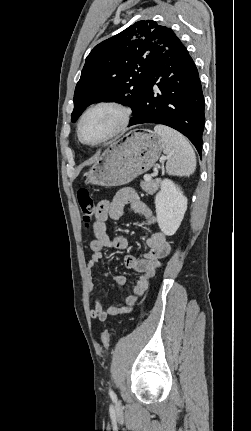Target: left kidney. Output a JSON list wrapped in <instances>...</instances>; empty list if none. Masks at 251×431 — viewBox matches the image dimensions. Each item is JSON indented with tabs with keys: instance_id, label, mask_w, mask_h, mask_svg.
Returning <instances> with one entry per match:
<instances>
[{
	"instance_id": "obj_1",
	"label": "left kidney",
	"mask_w": 251,
	"mask_h": 431,
	"mask_svg": "<svg viewBox=\"0 0 251 431\" xmlns=\"http://www.w3.org/2000/svg\"><path fill=\"white\" fill-rule=\"evenodd\" d=\"M155 208L159 228L165 235L172 236L187 210V198L177 184L170 179H164L155 197Z\"/></svg>"
}]
</instances>
